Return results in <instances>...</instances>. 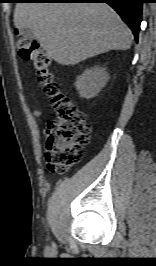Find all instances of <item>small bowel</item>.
<instances>
[{
    "mask_svg": "<svg viewBox=\"0 0 156 266\" xmlns=\"http://www.w3.org/2000/svg\"><path fill=\"white\" fill-rule=\"evenodd\" d=\"M34 115H35L37 118H39V117L41 116V112H40V111H35V112H34Z\"/></svg>",
    "mask_w": 156,
    "mask_h": 266,
    "instance_id": "small-bowel-1",
    "label": "small bowel"
}]
</instances>
